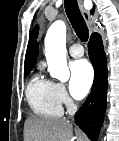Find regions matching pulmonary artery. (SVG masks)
I'll list each match as a JSON object with an SVG mask.
<instances>
[{
    "label": "pulmonary artery",
    "instance_id": "pulmonary-artery-1",
    "mask_svg": "<svg viewBox=\"0 0 119 141\" xmlns=\"http://www.w3.org/2000/svg\"><path fill=\"white\" fill-rule=\"evenodd\" d=\"M69 53L72 57L79 58L84 55V50L80 44H73L69 47Z\"/></svg>",
    "mask_w": 119,
    "mask_h": 141
}]
</instances>
